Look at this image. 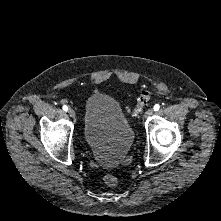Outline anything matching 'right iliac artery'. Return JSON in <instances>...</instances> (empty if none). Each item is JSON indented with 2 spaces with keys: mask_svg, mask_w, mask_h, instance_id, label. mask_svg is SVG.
I'll return each mask as SVG.
<instances>
[{
  "mask_svg": "<svg viewBox=\"0 0 221 221\" xmlns=\"http://www.w3.org/2000/svg\"><path fill=\"white\" fill-rule=\"evenodd\" d=\"M63 110L67 112L68 111V107L66 105H64L63 106Z\"/></svg>",
  "mask_w": 221,
  "mask_h": 221,
  "instance_id": "82829eb1",
  "label": "right iliac artery"
}]
</instances>
